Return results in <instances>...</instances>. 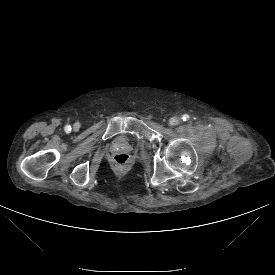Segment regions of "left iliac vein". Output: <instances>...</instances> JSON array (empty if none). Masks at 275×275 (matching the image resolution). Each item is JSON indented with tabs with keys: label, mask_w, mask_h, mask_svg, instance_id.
Instances as JSON below:
<instances>
[{
	"label": "left iliac vein",
	"mask_w": 275,
	"mask_h": 275,
	"mask_svg": "<svg viewBox=\"0 0 275 275\" xmlns=\"http://www.w3.org/2000/svg\"><path fill=\"white\" fill-rule=\"evenodd\" d=\"M179 122H180V118L178 117H172L170 118V121H169L170 125L172 126L177 125Z\"/></svg>",
	"instance_id": "left-iliac-vein-1"
}]
</instances>
